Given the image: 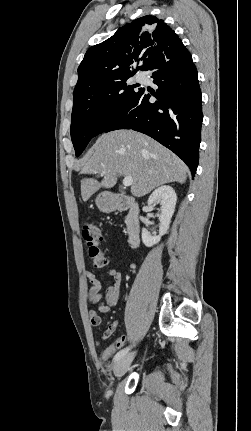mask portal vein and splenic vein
Masks as SVG:
<instances>
[{
    "mask_svg": "<svg viewBox=\"0 0 251 431\" xmlns=\"http://www.w3.org/2000/svg\"><path fill=\"white\" fill-rule=\"evenodd\" d=\"M101 174L102 175L105 174V171H101ZM132 182H133V179L130 176L125 177L122 181V183L125 187L131 186Z\"/></svg>",
    "mask_w": 251,
    "mask_h": 431,
    "instance_id": "portal-vein-and-splenic-vein-1",
    "label": "portal vein and splenic vein"
}]
</instances>
